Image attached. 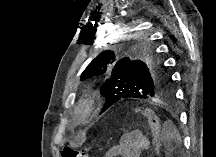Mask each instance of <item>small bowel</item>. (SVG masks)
Wrapping results in <instances>:
<instances>
[{
  "instance_id": "1",
  "label": "small bowel",
  "mask_w": 216,
  "mask_h": 157,
  "mask_svg": "<svg viewBox=\"0 0 216 157\" xmlns=\"http://www.w3.org/2000/svg\"><path fill=\"white\" fill-rule=\"evenodd\" d=\"M148 147V138L135 131L124 135L120 143L109 150L108 157H137Z\"/></svg>"
}]
</instances>
